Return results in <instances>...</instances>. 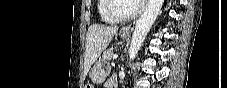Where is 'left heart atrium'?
<instances>
[{"instance_id":"1","label":"left heart atrium","mask_w":227,"mask_h":88,"mask_svg":"<svg viewBox=\"0 0 227 88\" xmlns=\"http://www.w3.org/2000/svg\"><path fill=\"white\" fill-rule=\"evenodd\" d=\"M137 5H143L145 3L144 0H135L134 1Z\"/></svg>"}]
</instances>
